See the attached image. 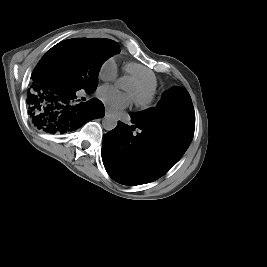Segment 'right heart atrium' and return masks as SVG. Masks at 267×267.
<instances>
[{"label": "right heart atrium", "mask_w": 267, "mask_h": 267, "mask_svg": "<svg viewBox=\"0 0 267 267\" xmlns=\"http://www.w3.org/2000/svg\"><path fill=\"white\" fill-rule=\"evenodd\" d=\"M113 59H109L102 68V76L105 78L113 79L116 76V70L113 67Z\"/></svg>", "instance_id": "obj_1"}]
</instances>
